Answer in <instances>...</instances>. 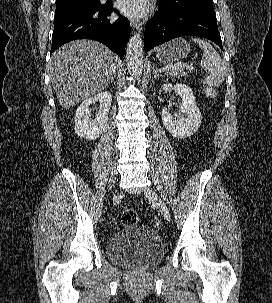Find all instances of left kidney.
I'll return each instance as SVG.
<instances>
[{
  "mask_svg": "<svg viewBox=\"0 0 272 303\" xmlns=\"http://www.w3.org/2000/svg\"><path fill=\"white\" fill-rule=\"evenodd\" d=\"M162 89L165 93L174 89L182 99L178 114L172 115L170 113V107H164L162 109L161 116L165 129L173 137H190L199 129L202 120V115L197 107L192 89L183 83H177L175 85L164 83Z\"/></svg>",
  "mask_w": 272,
  "mask_h": 303,
  "instance_id": "left-kidney-1",
  "label": "left kidney"
}]
</instances>
